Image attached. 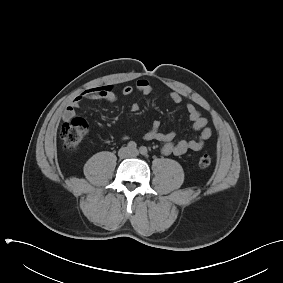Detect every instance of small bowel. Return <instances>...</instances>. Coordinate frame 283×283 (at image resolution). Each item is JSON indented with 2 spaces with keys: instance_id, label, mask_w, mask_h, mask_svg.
<instances>
[{
  "instance_id": "obj_1",
  "label": "small bowel",
  "mask_w": 283,
  "mask_h": 283,
  "mask_svg": "<svg viewBox=\"0 0 283 283\" xmlns=\"http://www.w3.org/2000/svg\"><path fill=\"white\" fill-rule=\"evenodd\" d=\"M135 89L147 95L152 92L153 87L147 79L140 78L137 80L135 87L131 85L124 86L122 94L125 96L131 95ZM86 98L113 103L117 100L118 96L111 85L98 86L85 90L73 98L66 106L62 113L63 120H71L75 116L76 109ZM168 98L176 104L182 102V96L175 91L170 92ZM131 111L134 113L138 112V104H133ZM186 112L192 124V128L199 132L196 137L175 141L176 133L174 131L163 132L160 129V122L154 121L150 130L144 134V139L147 141H158L161 144V152L164 155H182L190 150L200 151L205 142L212 136V129L208 126V119L205 118L193 104H186ZM124 139H128V137L125 136Z\"/></svg>"
}]
</instances>
